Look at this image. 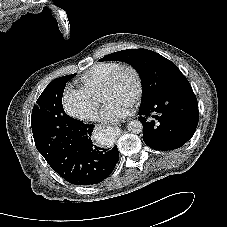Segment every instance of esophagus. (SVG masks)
<instances>
[{
    "label": "esophagus",
    "mask_w": 227,
    "mask_h": 227,
    "mask_svg": "<svg viewBox=\"0 0 227 227\" xmlns=\"http://www.w3.org/2000/svg\"><path fill=\"white\" fill-rule=\"evenodd\" d=\"M109 128L111 129V131H114V130L116 131L119 129L117 126H114V127L110 126Z\"/></svg>",
    "instance_id": "1"
}]
</instances>
